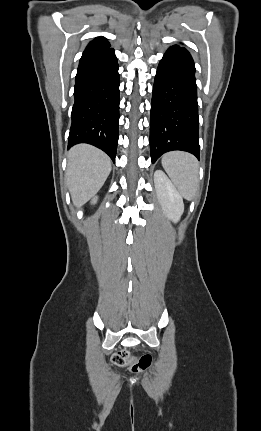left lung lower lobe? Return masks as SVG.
Segmentation results:
<instances>
[{
    "instance_id": "1",
    "label": "left lung lower lobe",
    "mask_w": 261,
    "mask_h": 431,
    "mask_svg": "<svg viewBox=\"0 0 261 431\" xmlns=\"http://www.w3.org/2000/svg\"><path fill=\"white\" fill-rule=\"evenodd\" d=\"M173 150L200 159L195 65L190 53L178 45L170 47L159 63L150 115L152 162Z\"/></svg>"
}]
</instances>
